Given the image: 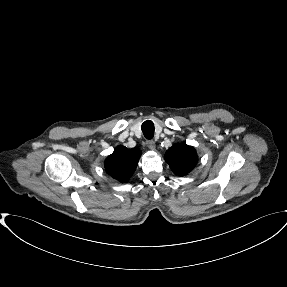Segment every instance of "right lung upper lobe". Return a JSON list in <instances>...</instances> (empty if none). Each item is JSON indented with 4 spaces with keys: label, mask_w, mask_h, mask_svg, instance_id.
I'll list each match as a JSON object with an SVG mask.
<instances>
[{
    "label": "right lung upper lobe",
    "mask_w": 287,
    "mask_h": 287,
    "mask_svg": "<svg viewBox=\"0 0 287 287\" xmlns=\"http://www.w3.org/2000/svg\"><path fill=\"white\" fill-rule=\"evenodd\" d=\"M141 151L138 148L128 150L126 147L118 146L109 155L104 163L106 172L119 182H126L134 173Z\"/></svg>",
    "instance_id": "1"
}]
</instances>
